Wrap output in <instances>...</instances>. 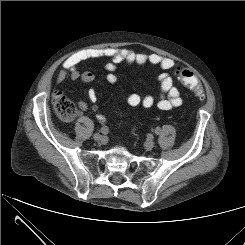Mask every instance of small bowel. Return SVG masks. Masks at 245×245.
I'll return each mask as SVG.
<instances>
[{
  "label": "small bowel",
  "instance_id": "1",
  "mask_svg": "<svg viewBox=\"0 0 245 245\" xmlns=\"http://www.w3.org/2000/svg\"><path fill=\"white\" fill-rule=\"evenodd\" d=\"M98 58L109 59L105 65V70L107 72L106 79L110 84H115L118 81L117 71L122 64L139 66L150 64L158 66L163 70H168L175 65L173 59L158 54L136 53L125 48L90 49L77 52L68 57L63 63V70L57 75V82L67 79L81 80L85 84L92 82L94 74L90 71L80 72L77 66L84 61ZM158 82L161 93L156 103L157 107L164 111L180 107L182 105V98L172 77L168 73H161L158 76ZM88 98L92 103V109L96 110L97 93L94 89L88 91ZM127 103L132 108L142 107L150 109L155 105V99L151 94L142 96L139 93H131L127 98ZM77 105L82 111L88 108V104L85 101H79ZM97 119L100 122L106 121V117L103 115H98Z\"/></svg>",
  "mask_w": 245,
  "mask_h": 245
}]
</instances>
